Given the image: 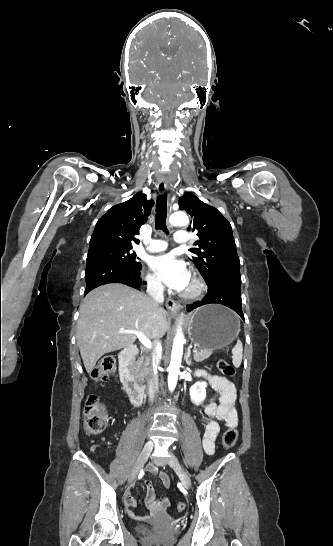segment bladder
<instances>
[{
    "label": "bladder",
    "instance_id": "1",
    "mask_svg": "<svg viewBox=\"0 0 333 546\" xmlns=\"http://www.w3.org/2000/svg\"><path fill=\"white\" fill-rule=\"evenodd\" d=\"M136 529H137V531L139 533H142V534H146V533H149L151 531L150 527H148L146 525H140Z\"/></svg>",
    "mask_w": 333,
    "mask_h": 546
}]
</instances>
